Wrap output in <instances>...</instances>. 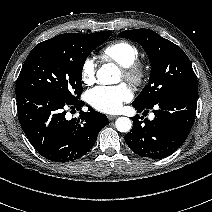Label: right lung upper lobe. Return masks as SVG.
<instances>
[{"mask_svg":"<svg viewBox=\"0 0 212 212\" xmlns=\"http://www.w3.org/2000/svg\"><path fill=\"white\" fill-rule=\"evenodd\" d=\"M65 36H66V34H61V35L53 37V38H51L49 40L43 41V42H41L39 44H41V45H57V44L61 43L64 40Z\"/></svg>","mask_w":212,"mask_h":212,"instance_id":"obj_1","label":"right lung upper lobe"}]
</instances>
